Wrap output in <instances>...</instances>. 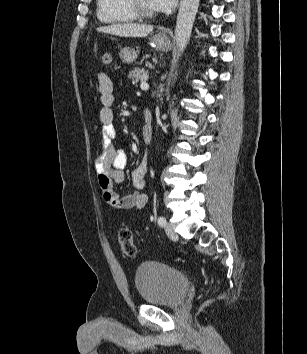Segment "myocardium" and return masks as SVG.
<instances>
[{
    "label": "myocardium",
    "instance_id": "myocardium-1",
    "mask_svg": "<svg viewBox=\"0 0 307 354\" xmlns=\"http://www.w3.org/2000/svg\"><path fill=\"white\" fill-rule=\"evenodd\" d=\"M129 5L137 17L152 18L156 15L154 11L147 10L143 7L140 0H128Z\"/></svg>",
    "mask_w": 307,
    "mask_h": 354
}]
</instances>
